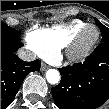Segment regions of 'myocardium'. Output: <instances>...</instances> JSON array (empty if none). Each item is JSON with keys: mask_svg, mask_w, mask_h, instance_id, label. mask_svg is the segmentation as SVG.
Segmentation results:
<instances>
[{"mask_svg": "<svg viewBox=\"0 0 109 109\" xmlns=\"http://www.w3.org/2000/svg\"><path fill=\"white\" fill-rule=\"evenodd\" d=\"M93 28L96 31V36L93 39V41L88 44L87 46L81 48L80 42L85 34V32L89 29ZM100 38V31L98 27L94 24H87L84 27L80 28L71 38V40L68 42V44L65 47V57L68 61L73 63H78L86 59L89 54L93 51L96 44L98 43ZM50 60V58H47Z\"/></svg>", "mask_w": 109, "mask_h": 109, "instance_id": "myocardium-1", "label": "myocardium"}]
</instances>
